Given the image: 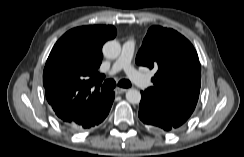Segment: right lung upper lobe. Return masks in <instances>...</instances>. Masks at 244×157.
Here are the masks:
<instances>
[{"instance_id":"obj_1","label":"right lung upper lobe","mask_w":244,"mask_h":157,"mask_svg":"<svg viewBox=\"0 0 244 157\" xmlns=\"http://www.w3.org/2000/svg\"><path fill=\"white\" fill-rule=\"evenodd\" d=\"M115 36L111 25L82 26L66 32L54 45L43 84L47 101L61 122H83L107 101L109 92L99 91L104 75L97 69L103 44Z\"/></svg>"}]
</instances>
